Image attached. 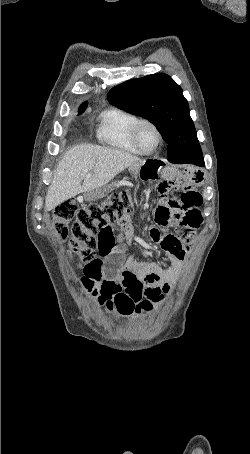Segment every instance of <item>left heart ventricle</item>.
I'll return each instance as SVG.
<instances>
[{"mask_svg": "<svg viewBox=\"0 0 250 454\" xmlns=\"http://www.w3.org/2000/svg\"><path fill=\"white\" fill-rule=\"evenodd\" d=\"M139 140L147 150L152 149L157 143L155 131L149 125H142L139 129Z\"/></svg>", "mask_w": 250, "mask_h": 454, "instance_id": "b2bd125f", "label": "left heart ventricle"}]
</instances>
